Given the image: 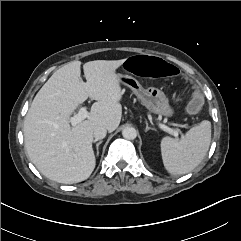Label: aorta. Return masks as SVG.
<instances>
[{
    "mask_svg": "<svg viewBox=\"0 0 241 241\" xmlns=\"http://www.w3.org/2000/svg\"><path fill=\"white\" fill-rule=\"evenodd\" d=\"M122 136L127 140H134L137 137V131L133 127H125L122 130Z\"/></svg>",
    "mask_w": 241,
    "mask_h": 241,
    "instance_id": "762f6f07",
    "label": "aorta"
}]
</instances>
